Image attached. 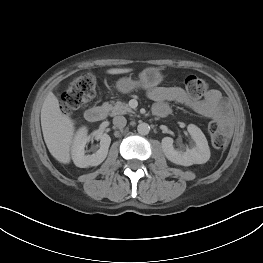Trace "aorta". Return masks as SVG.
Segmentation results:
<instances>
[{
	"mask_svg": "<svg viewBox=\"0 0 263 263\" xmlns=\"http://www.w3.org/2000/svg\"><path fill=\"white\" fill-rule=\"evenodd\" d=\"M137 131L141 135H147L149 133V131H150V126L147 123H140L137 126Z\"/></svg>",
	"mask_w": 263,
	"mask_h": 263,
	"instance_id": "aorta-1",
	"label": "aorta"
}]
</instances>
